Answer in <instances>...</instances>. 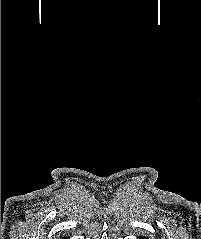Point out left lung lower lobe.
Listing matches in <instances>:
<instances>
[{
    "label": "left lung lower lobe",
    "mask_w": 201,
    "mask_h": 239,
    "mask_svg": "<svg viewBox=\"0 0 201 239\" xmlns=\"http://www.w3.org/2000/svg\"><path fill=\"white\" fill-rule=\"evenodd\" d=\"M140 239H146V238L140 237Z\"/></svg>",
    "instance_id": "1"
}]
</instances>
